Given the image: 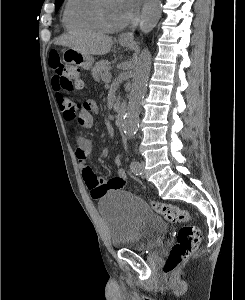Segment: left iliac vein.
<instances>
[{
	"label": "left iliac vein",
	"instance_id": "4c4485c4",
	"mask_svg": "<svg viewBox=\"0 0 245 300\" xmlns=\"http://www.w3.org/2000/svg\"><path fill=\"white\" fill-rule=\"evenodd\" d=\"M140 175L145 178V162L141 161L140 162Z\"/></svg>",
	"mask_w": 245,
	"mask_h": 300
}]
</instances>
